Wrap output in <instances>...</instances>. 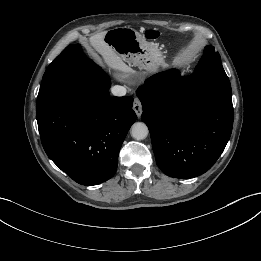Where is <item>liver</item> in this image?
<instances>
[{
  "label": "liver",
  "instance_id": "1",
  "mask_svg": "<svg viewBox=\"0 0 261 261\" xmlns=\"http://www.w3.org/2000/svg\"><path fill=\"white\" fill-rule=\"evenodd\" d=\"M106 32L97 33L89 38V44L93 49L102 55L106 64L113 69L127 72L128 66L124 60L104 41Z\"/></svg>",
  "mask_w": 261,
  "mask_h": 261
}]
</instances>
